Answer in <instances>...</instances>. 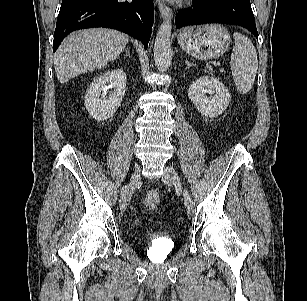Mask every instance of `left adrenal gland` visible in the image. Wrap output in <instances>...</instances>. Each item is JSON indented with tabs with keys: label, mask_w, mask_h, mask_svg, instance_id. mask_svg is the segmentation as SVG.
I'll list each match as a JSON object with an SVG mask.
<instances>
[{
	"label": "left adrenal gland",
	"mask_w": 307,
	"mask_h": 301,
	"mask_svg": "<svg viewBox=\"0 0 307 301\" xmlns=\"http://www.w3.org/2000/svg\"><path fill=\"white\" fill-rule=\"evenodd\" d=\"M186 69L190 68L191 66H193L194 64L190 63L189 61L186 60Z\"/></svg>",
	"instance_id": "obj_1"
}]
</instances>
